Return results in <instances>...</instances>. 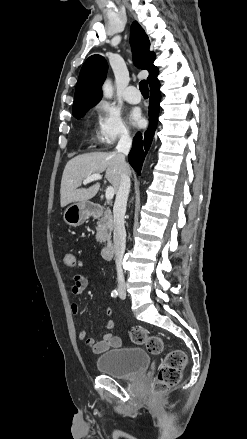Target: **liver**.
I'll use <instances>...</instances> for the list:
<instances>
[{"label":"liver","instance_id":"liver-1","mask_svg":"<svg viewBox=\"0 0 247 439\" xmlns=\"http://www.w3.org/2000/svg\"><path fill=\"white\" fill-rule=\"evenodd\" d=\"M103 172L106 173L107 180L117 191L120 185L122 167L116 152L86 153L69 160L64 168L61 180V207H65L72 202H85L93 198L100 188L99 183L87 189L79 187L87 177ZM127 172L130 175L129 165Z\"/></svg>","mask_w":247,"mask_h":439}]
</instances>
